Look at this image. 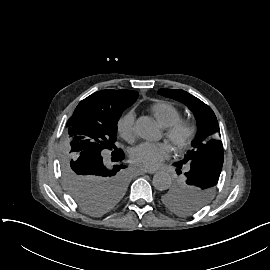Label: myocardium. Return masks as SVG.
Returning <instances> with one entry per match:
<instances>
[{
  "instance_id": "myocardium-1",
  "label": "myocardium",
  "mask_w": 270,
  "mask_h": 270,
  "mask_svg": "<svg viewBox=\"0 0 270 270\" xmlns=\"http://www.w3.org/2000/svg\"><path fill=\"white\" fill-rule=\"evenodd\" d=\"M168 137L177 144H189L195 133V124L191 119H181L171 129Z\"/></svg>"
}]
</instances>
